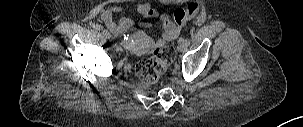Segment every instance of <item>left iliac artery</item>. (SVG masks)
<instances>
[{"label":"left iliac artery","instance_id":"obj_1","mask_svg":"<svg viewBox=\"0 0 303 127\" xmlns=\"http://www.w3.org/2000/svg\"><path fill=\"white\" fill-rule=\"evenodd\" d=\"M185 41H186L187 45L189 46L191 43V40L189 38H186Z\"/></svg>","mask_w":303,"mask_h":127}]
</instances>
